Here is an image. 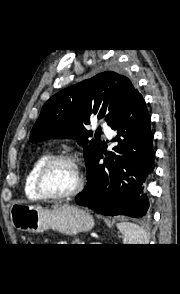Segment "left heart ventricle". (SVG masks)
Returning <instances> with one entry per match:
<instances>
[{"mask_svg":"<svg viewBox=\"0 0 180 294\" xmlns=\"http://www.w3.org/2000/svg\"><path fill=\"white\" fill-rule=\"evenodd\" d=\"M78 183V175L74 166L67 162L53 165L46 173L43 181L44 189L50 194H65L73 190Z\"/></svg>","mask_w":180,"mask_h":294,"instance_id":"obj_1","label":"left heart ventricle"}]
</instances>
